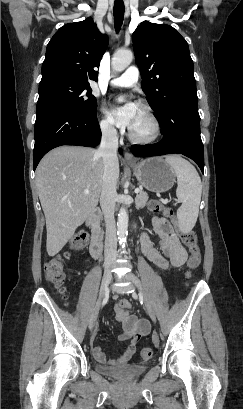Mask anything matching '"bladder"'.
<instances>
[{"mask_svg": "<svg viewBox=\"0 0 243 409\" xmlns=\"http://www.w3.org/2000/svg\"><path fill=\"white\" fill-rule=\"evenodd\" d=\"M98 373L116 378L118 380H133L140 377L147 370V364H123L118 366L97 364Z\"/></svg>", "mask_w": 243, "mask_h": 409, "instance_id": "bladder-1", "label": "bladder"}]
</instances>
